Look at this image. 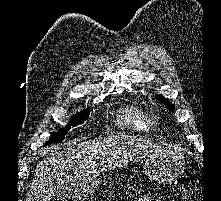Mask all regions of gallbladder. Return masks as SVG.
<instances>
[{"label": "gallbladder", "instance_id": "bac80fb5", "mask_svg": "<svg viewBox=\"0 0 221 201\" xmlns=\"http://www.w3.org/2000/svg\"><path fill=\"white\" fill-rule=\"evenodd\" d=\"M73 194V188L71 185L64 184L59 185L52 195L53 201H67Z\"/></svg>", "mask_w": 221, "mask_h": 201}]
</instances>
